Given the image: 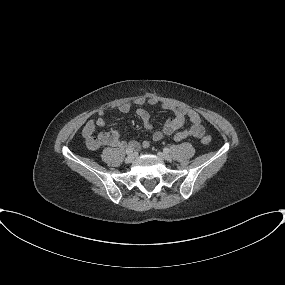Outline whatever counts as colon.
Listing matches in <instances>:
<instances>
[{
    "label": "colon",
    "mask_w": 285,
    "mask_h": 285,
    "mask_svg": "<svg viewBox=\"0 0 285 285\" xmlns=\"http://www.w3.org/2000/svg\"><path fill=\"white\" fill-rule=\"evenodd\" d=\"M202 142L204 144H209L211 142V138L209 136H205L203 139H202Z\"/></svg>",
    "instance_id": "obj_1"
}]
</instances>
